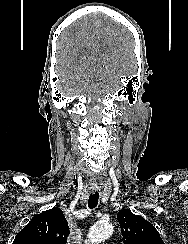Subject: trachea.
Wrapping results in <instances>:
<instances>
[{"mask_svg": "<svg viewBox=\"0 0 188 244\" xmlns=\"http://www.w3.org/2000/svg\"><path fill=\"white\" fill-rule=\"evenodd\" d=\"M98 200H99L98 192L90 194L88 199V207L91 209L95 208L98 205Z\"/></svg>", "mask_w": 188, "mask_h": 244, "instance_id": "3493384b", "label": "trachea"}]
</instances>
